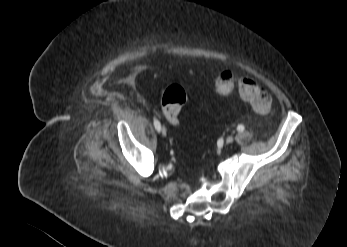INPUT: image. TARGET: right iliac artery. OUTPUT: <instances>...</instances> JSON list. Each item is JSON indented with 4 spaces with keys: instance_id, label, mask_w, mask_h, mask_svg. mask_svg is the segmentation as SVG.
<instances>
[{
    "instance_id": "82829eb1",
    "label": "right iliac artery",
    "mask_w": 347,
    "mask_h": 247,
    "mask_svg": "<svg viewBox=\"0 0 347 247\" xmlns=\"http://www.w3.org/2000/svg\"><path fill=\"white\" fill-rule=\"evenodd\" d=\"M154 126L158 132L161 130V124L156 118H154Z\"/></svg>"
}]
</instances>
